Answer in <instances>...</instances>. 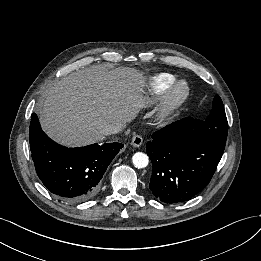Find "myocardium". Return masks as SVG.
I'll list each match as a JSON object with an SVG mask.
<instances>
[{"label":"myocardium","instance_id":"obj_1","mask_svg":"<svg viewBox=\"0 0 261 261\" xmlns=\"http://www.w3.org/2000/svg\"><path fill=\"white\" fill-rule=\"evenodd\" d=\"M190 94V87L186 80L176 81L167 92L158 114L161 125L169 124L175 113L183 106Z\"/></svg>","mask_w":261,"mask_h":261}]
</instances>
